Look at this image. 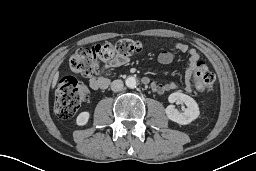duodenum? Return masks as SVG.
I'll return each mask as SVG.
<instances>
[{
	"label": "duodenum",
	"mask_w": 256,
	"mask_h": 171,
	"mask_svg": "<svg viewBox=\"0 0 256 171\" xmlns=\"http://www.w3.org/2000/svg\"><path fill=\"white\" fill-rule=\"evenodd\" d=\"M147 82H148V80L145 78V79H144V83H147Z\"/></svg>",
	"instance_id": "1"
}]
</instances>
